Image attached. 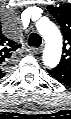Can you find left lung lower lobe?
Here are the masks:
<instances>
[{"instance_id": "0a47b994", "label": "left lung lower lobe", "mask_w": 71, "mask_h": 119, "mask_svg": "<svg viewBox=\"0 0 71 119\" xmlns=\"http://www.w3.org/2000/svg\"><path fill=\"white\" fill-rule=\"evenodd\" d=\"M47 72L59 82L71 85V71L55 67L54 69H47Z\"/></svg>"}]
</instances>
